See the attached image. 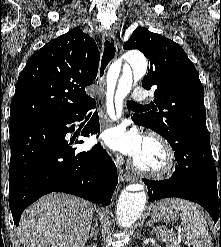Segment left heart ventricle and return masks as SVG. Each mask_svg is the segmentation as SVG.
Instances as JSON below:
<instances>
[{
  "mask_svg": "<svg viewBox=\"0 0 221 247\" xmlns=\"http://www.w3.org/2000/svg\"><path fill=\"white\" fill-rule=\"evenodd\" d=\"M135 160L144 168L157 169L164 164V155L155 144L146 141Z\"/></svg>",
  "mask_w": 221,
  "mask_h": 247,
  "instance_id": "left-heart-ventricle-1",
  "label": "left heart ventricle"
}]
</instances>
